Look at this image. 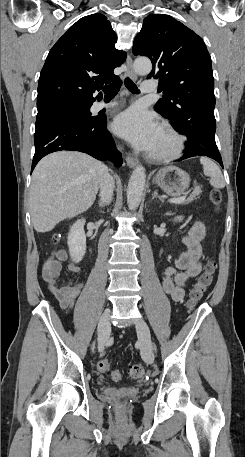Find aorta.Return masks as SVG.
I'll use <instances>...</instances> for the list:
<instances>
[{
  "label": "aorta",
  "mask_w": 245,
  "mask_h": 457,
  "mask_svg": "<svg viewBox=\"0 0 245 457\" xmlns=\"http://www.w3.org/2000/svg\"><path fill=\"white\" fill-rule=\"evenodd\" d=\"M133 68L137 74L147 75L152 70V63L148 58H138L134 61ZM145 179V168L137 166L131 174L127 188V204L130 210H136L141 202Z\"/></svg>",
  "instance_id": "762f6f07"
}]
</instances>
